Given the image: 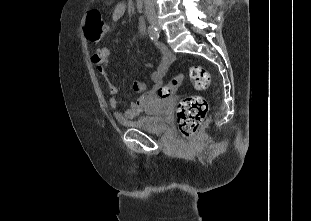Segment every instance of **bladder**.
I'll use <instances>...</instances> for the list:
<instances>
[{"mask_svg":"<svg viewBox=\"0 0 311 221\" xmlns=\"http://www.w3.org/2000/svg\"><path fill=\"white\" fill-rule=\"evenodd\" d=\"M171 108L168 97H165L158 101L154 108H147V113L130 120L128 125L147 134H162L166 132L170 124L169 110Z\"/></svg>","mask_w":311,"mask_h":221,"instance_id":"31cf9c89","label":"bladder"}]
</instances>
